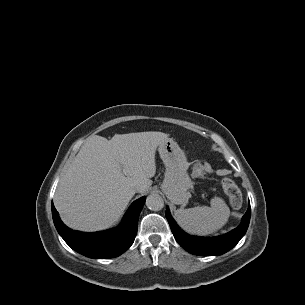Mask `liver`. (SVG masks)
Listing matches in <instances>:
<instances>
[{
	"instance_id": "obj_1",
	"label": "liver",
	"mask_w": 305,
	"mask_h": 305,
	"mask_svg": "<svg viewBox=\"0 0 305 305\" xmlns=\"http://www.w3.org/2000/svg\"><path fill=\"white\" fill-rule=\"evenodd\" d=\"M162 132L116 134L87 139L57 186L54 205L72 229L98 231L113 226L129 201L152 185Z\"/></svg>"
}]
</instances>
